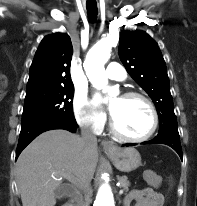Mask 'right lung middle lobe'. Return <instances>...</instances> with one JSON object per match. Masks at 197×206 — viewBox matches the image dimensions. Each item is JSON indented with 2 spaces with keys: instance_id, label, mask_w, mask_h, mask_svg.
<instances>
[{
  "instance_id": "1",
  "label": "right lung middle lobe",
  "mask_w": 197,
  "mask_h": 206,
  "mask_svg": "<svg viewBox=\"0 0 197 206\" xmlns=\"http://www.w3.org/2000/svg\"><path fill=\"white\" fill-rule=\"evenodd\" d=\"M73 94V85L27 89L21 127L44 119L74 118Z\"/></svg>"
}]
</instances>
